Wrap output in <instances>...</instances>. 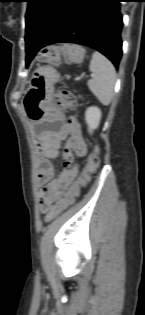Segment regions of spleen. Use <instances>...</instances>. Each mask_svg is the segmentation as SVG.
<instances>
[{
	"instance_id": "1",
	"label": "spleen",
	"mask_w": 145,
	"mask_h": 315,
	"mask_svg": "<svg viewBox=\"0 0 145 315\" xmlns=\"http://www.w3.org/2000/svg\"><path fill=\"white\" fill-rule=\"evenodd\" d=\"M93 78L88 87L103 105H109L114 94L116 71L113 64L101 53L94 52L89 65Z\"/></svg>"
}]
</instances>
